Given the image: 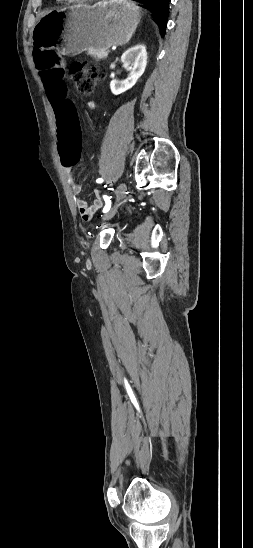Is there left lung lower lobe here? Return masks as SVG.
I'll list each match as a JSON object with an SVG mask.
<instances>
[{"label": "left lung lower lobe", "instance_id": "0a47b994", "mask_svg": "<svg viewBox=\"0 0 253 548\" xmlns=\"http://www.w3.org/2000/svg\"><path fill=\"white\" fill-rule=\"evenodd\" d=\"M137 1V0H136ZM147 3L153 10L156 16V23L158 24L161 34L164 35L166 31V25L169 14V2L170 0H138Z\"/></svg>", "mask_w": 253, "mask_h": 548}]
</instances>
